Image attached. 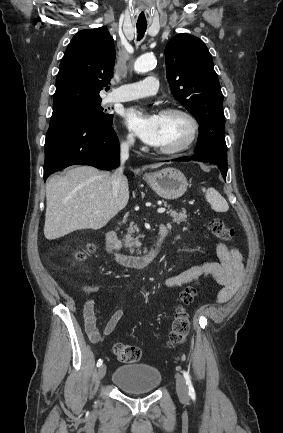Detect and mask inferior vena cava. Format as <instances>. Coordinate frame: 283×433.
<instances>
[{
	"instance_id": "inferior-vena-cava-1",
	"label": "inferior vena cava",
	"mask_w": 283,
	"mask_h": 433,
	"mask_svg": "<svg viewBox=\"0 0 283 433\" xmlns=\"http://www.w3.org/2000/svg\"><path fill=\"white\" fill-rule=\"evenodd\" d=\"M132 144V140H126V142H122L120 146V160L121 164L122 162H125L129 156V146ZM125 176L123 174V168L122 166H118L116 170H114L112 174V194L114 196H117L119 192V188L121 186L122 180H124Z\"/></svg>"
}]
</instances>
